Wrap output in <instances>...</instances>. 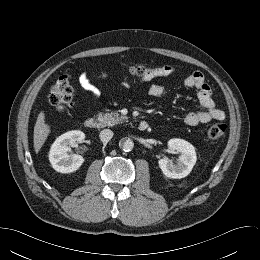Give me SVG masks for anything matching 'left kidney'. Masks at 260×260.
<instances>
[{
	"label": "left kidney",
	"instance_id": "5707ae66",
	"mask_svg": "<svg viewBox=\"0 0 260 260\" xmlns=\"http://www.w3.org/2000/svg\"><path fill=\"white\" fill-rule=\"evenodd\" d=\"M168 148L180 153L178 162L174 164L168 158H162L158 161L159 167L163 174L172 179H181L186 177L193 169L197 156L195 148L189 142L183 139H170Z\"/></svg>",
	"mask_w": 260,
	"mask_h": 260
}]
</instances>
